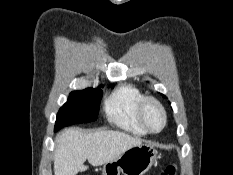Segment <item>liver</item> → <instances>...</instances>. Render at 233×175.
<instances>
[{
  "mask_svg": "<svg viewBox=\"0 0 233 175\" xmlns=\"http://www.w3.org/2000/svg\"><path fill=\"white\" fill-rule=\"evenodd\" d=\"M55 143L54 174L76 175L87 170L86 160L92 166L106 164L142 140L119 131L68 128L56 136Z\"/></svg>",
  "mask_w": 233,
  "mask_h": 175,
  "instance_id": "6515ba94",
  "label": "liver"
}]
</instances>
